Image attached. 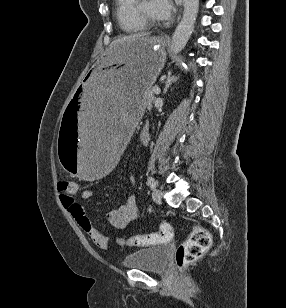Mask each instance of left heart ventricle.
<instances>
[{
	"mask_svg": "<svg viewBox=\"0 0 286 308\" xmlns=\"http://www.w3.org/2000/svg\"><path fill=\"white\" fill-rule=\"evenodd\" d=\"M140 10L143 14H145L147 17H149L152 20H158L159 17L155 14L153 6H152V0H142L139 2Z\"/></svg>",
	"mask_w": 286,
	"mask_h": 308,
	"instance_id": "obj_1",
	"label": "left heart ventricle"
}]
</instances>
